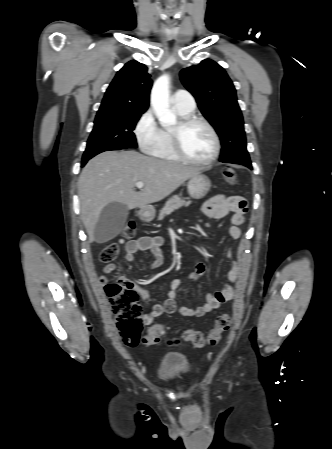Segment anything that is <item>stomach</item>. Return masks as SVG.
<instances>
[{
	"instance_id": "stomach-1",
	"label": "stomach",
	"mask_w": 332,
	"mask_h": 449,
	"mask_svg": "<svg viewBox=\"0 0 332 449\" xmlns=\"http://www.w3.org/2000/svg\"><path fill=\"white\" fill-rule=\"evenodd\" d=\"M210 187V179L202 173H198L191 177L187 184L188 193L193 199L204 198L209 192ZM154 216L155 210L153 208H144L140 212V218L144 221H151Z\"/></svg>"
}]
</instances>
